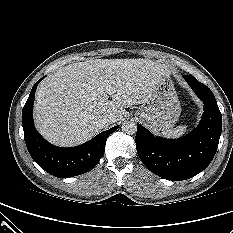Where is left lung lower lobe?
<instances>
[{"instance_id":"0a47b994","label":"left lung lower lobe","mask_w":233,"mask_h":233,"mask_svg":"<svg viewBox=\"0 0 233 233\" xmlns=\"http://www.w3.org/2000/svg\"><path fill=\"white\" fill-rule=\"evenodd\" d=\"M184 78L204 103L199 125L187 136L171 140L155 137L137 124L135 138L144 165L154 174L173 181L189 179L210 164L222 130V116L212 91L193 76Z\"/></svg>"}]
</instances>
